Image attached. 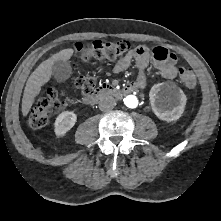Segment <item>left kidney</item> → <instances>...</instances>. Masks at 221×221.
<instances>
[{
	"instance_id": "left-kidney-1",
	"label": "left kidney",
	"mask_w": 221,
	"mask_h": 221,
	"mask_svg": "<svg viewBox=\"0 0 221 221\" xmlns=\"http://www.w3.org/2000/svg\"><path fill=\"white\" fill-rule=\"evenodd\" d=\"M149 97L154 114L166 122L178 120L182 116L187 102L182 89L167 82L154 85Z\"/></svg>"
}]
</instances>
